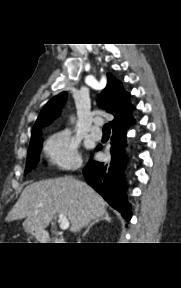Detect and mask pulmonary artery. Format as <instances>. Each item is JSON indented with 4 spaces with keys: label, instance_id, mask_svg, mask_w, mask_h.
<instances>
[{
    "label": "pulmonary artery",
    "instance_id": "obj_1",
    "mask_svg": "<svg viewBox=\"0 0 181 288\" xmlns=\"http://www.w3.org/2000/svg\"><path fill=\"white\" fill-rule=\"evenodd\" d=\"M90 134L95 139H100L103 135L102 130L99 127V120L95 119L94 125L90 129Z\"/></svg>",
    "mask_w": 181,
    "mask_h": 288
}]
</instances>
